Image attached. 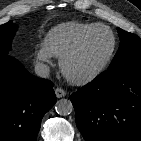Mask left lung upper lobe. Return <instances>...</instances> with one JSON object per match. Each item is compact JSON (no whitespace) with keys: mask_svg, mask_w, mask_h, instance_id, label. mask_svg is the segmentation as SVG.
<instances>
[{"mask_svg":"<svg viewBox=\"0 0 141 141\" xmlns=\"http://www.w3.org/2000/svg\"><path fill=\"white\" fill-rule=\"evenodd\" d=\"M120 47L108 69L141 60V38L118 28Z\"/></svg>","mask_w":141,"mask_h":141,"instance_id":"left-lung-upper-lobe-1","label":"left lung upper lobe"}]
</instances>
